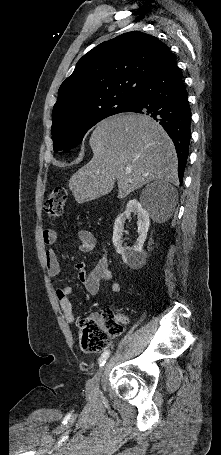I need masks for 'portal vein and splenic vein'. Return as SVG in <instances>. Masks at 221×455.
Segmentation results:
<instances>
[{
    "label": "portal vein and splenic vein",
    "instance_id": "18ae733b",
    "mask_svg": "<svg viewBox=\"0 0 221 455\" xmlns=\"http://www.w3.org/2000/svg\"><path fill=\"white\" fill-rule=\"evenodd\" d=\"M131 171L130 170H126V174H129Z\"/></svg>",
    "mask_w": 221,
    "mask_h": 455
}]
</instances>
